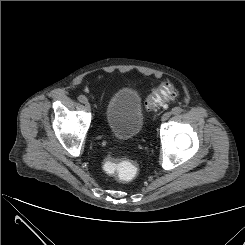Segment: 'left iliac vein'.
I'll return each instance as SVG.
<instances>
[{
	"instance_id": "1",
	"label": "left iliac vein",
	"mask_w": 245,
	"mask_h": 245,
	"mask_svg": "<svg viewBox=\"0 0 245 245\" xmlns=\"http://www.w3.org/2000/svg\"><path fill=\"white\" fill-rule=\"evenodd\" d=\"M172 113L171 112H166L162 115L161 120L162 121H167L171 117Z\"/></svg>"
}]
</instances>
